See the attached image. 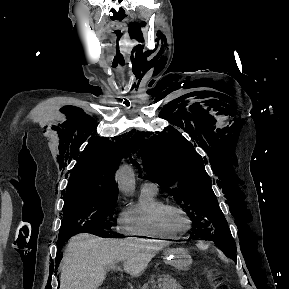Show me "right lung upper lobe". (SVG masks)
<instances>
[{
  "instance_id": "obj_1",
  "label": "right lung upper lobe",
  "mask_w": 289,
  "mask_h": 289,
  "mask_svg": "<svg viewBox=\"0 0 289 289\" xmlns=\"http://www.w3.org/2000/svg\"><path fill=\"white\" fill-rule=\"evenodd\" d=\"M126 151V143L90 140L70 174L64 198L118 194L114 175Z\"/></svg>"
}]
</instances>
